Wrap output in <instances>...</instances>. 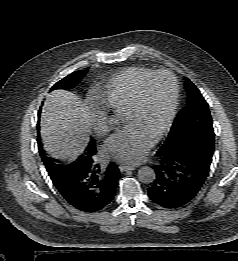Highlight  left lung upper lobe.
<instances>
[{"label": "left lung upper lobe", "instance_id": "obj_1", "mask_svg": "<svg viewBox=\"0 0 238 261\" xmlns=\"http://www.w3.org/2000/svg\"><path fill=\"white\" fill-rule=\"evenodd\" d=\"M185 84L188 92L187 103L175 118L166 141L159 149L162 152L202 139L207 133H211L209 136L214 138L207 102L188 78H185Z\"/></svg>", "mask_w": 238, "mask_h": 261}]
</instances>
